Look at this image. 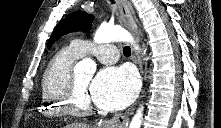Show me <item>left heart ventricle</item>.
Wrapping results in <instances>:
<instances>
[{
    "instance_id": "obj_1",
    "label": "left heart ventricle",
    "mask_w": 221,
    "mask_h": 128,
    "mask_svg": "<svg viewBox=\"0 0 221 128\" xmlns=\"http://www.w3.org/2000/svg\"><path fill=\"white\" fill-rule=\"evenodd\" d=\"M77 80V84H78V87L82 93V96L84 99H89L88 95H87V84H88V80L87 79H83V78H79L77 77L76 78ZM90 100V99H89Z\"/></svg>"
}]
</instances>
